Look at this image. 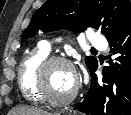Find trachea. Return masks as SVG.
<instances>
[{"label": "trachea", "instance_id": "3493384b", "mask_svg": "<svg viewBox=\"0 0 131 115\" xmlns=\"http://www.w3.org/2000/svg\"><path fill=\"white\" fill-rule=\"evenodd\" d=\"M91 50H92V51H96V49H94V48H92Z\"/></svg>", "mask_w": 131, "mask_h": 115}]
</instances>
